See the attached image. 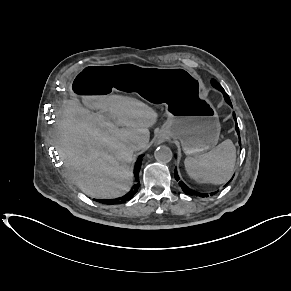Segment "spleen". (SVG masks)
<instances>
[{
    "mask_svg": "<svg viewBox=\"0 0 291 291\" xmlns=\"http://www.w3.org/2000/svg\"><path fill=\"white\" fill-rule=\"evenodd\" d=\"M235 161L236 148L227 139L208 153L186 157L184 164L188 175L197 182L219 185L231 178Z\"/></svg>",
    "mask_w": 291,
    "mask_h": 291,
    "instance_id": "obj_1",
    "label": "spleen"
}]
</instances>
